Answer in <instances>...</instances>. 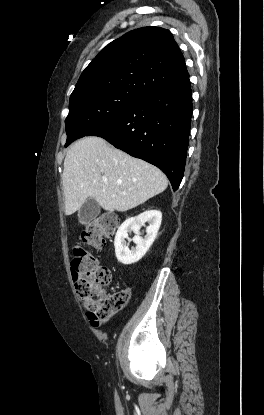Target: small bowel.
Segmentation results:
<instances>
[{"label":"small bowel","mask_w":264,"mask_h":415,"mask_svg":"<svg viewBox=\"0 0 264 415\" xmlns=\"http://www.w3.org/2000/svg\"><path fill=\"white\" fill-rule=\"evenodd\" d=\"M79 278H80L79 274H73L72 273V279L75 283H77L79 281Z\"/></svg>","instance_id":"1"}]
</instances>
